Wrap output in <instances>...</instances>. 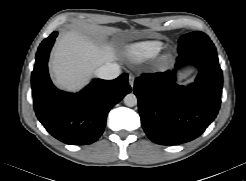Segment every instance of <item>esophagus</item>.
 <instances>
[{"instance_id":"1","label":"esophagus","mask_w":246,"mask_h":181,"mask_svg":"<svg viewBox=\"0 0 246 181\" xmlns=\"http://www.w3.org/2000/svg\"><path fill=\"white\" fill-rule=\"evenodd\" d=\"M134 80H135V77L133 75H129L128 81H129V85L131 86V88H133L134 86Z\"/></svg>"}]
</instances>
